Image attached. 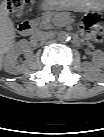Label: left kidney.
<instances>
[{
  "label": "left kidney",
  "instance_id": "obj_1",
  "mask_svg": "<svg viewBox=\"0 0 104 137\" xmlns=\"http://www.w3.org/2000/svg\"><path fill=\"white\" fill-rule=\"evenodd\" d=\"M103 60H104L103 52L100 50L95 51L94 62L97 63L99 66H102Z\"/></svg>",
  "mask_w": 104,
  "mask_h": 137
}]
</instances>
